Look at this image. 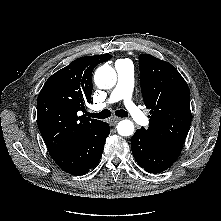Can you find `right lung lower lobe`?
Wrapping results in <instances>:
<instances>
[{
  "instance_id": "1",
  "label": "right lung lower lobe",
  "mask_w": 221,
  "mask_h": 221,
  "mask_svg": "<svg viewBox=\"0 0 221 221\" xmlns=\"http://www.w3.org/2000/svg\"><path fill=\"white\" fill-rule=\"evenodd\" d=\"M109 132V124L101 122L52 158L69 174L76 176L86 174L100 160Z\"/></svg>"
}]
</instances>
